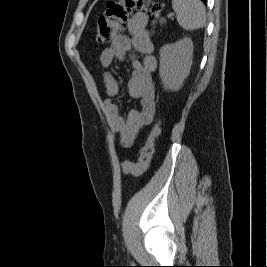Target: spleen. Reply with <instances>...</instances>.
<instances>
[{
  "label": "spleen",
  "mask_w": 267,
  "mask_h": 267,
  "mask_svg": "<svg viewBox=\"0 0 267 267\" xmlns=\"http://www.w3.org/2000/svg\"><path fill=\"white\" fill-rule=\"evenodd\" d=\"M172 8L185 30L199 29L206 23L205 6L200 0H172Z\"/></svg>",
  "instance_id": "spleen-1"
}]
</instances>
